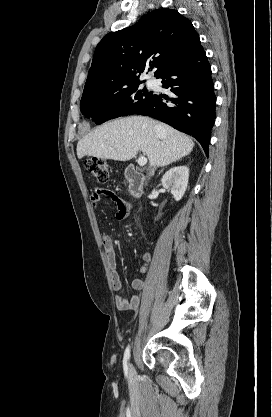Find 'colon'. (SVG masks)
<instances>
[{
	"instance_id": "obj_1",
	"label": "colon",
	"mask_w": 272,
	"mask_h": 417,
	"mask_svg": "<svg viewBox=\"0 0 272 417\" xmlns=\"http://www.w3.org/2000/svg\"><path fill=\"white\" fill-rule=\"evenodd\" d=\"M89 173L99 182H105L109 179V168L107 162L98 157H93L85 162Z\"/></svg>"
}]
</instances>
